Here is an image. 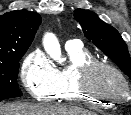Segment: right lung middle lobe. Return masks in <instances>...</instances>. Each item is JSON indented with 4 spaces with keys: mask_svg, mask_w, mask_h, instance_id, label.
<instances>
[{
    "mask_svg": "<svg viewBox=\"0 0 131 115\" xmlns=\"http://www.w3.org/2000/svg\"><path fill=\"white\" fill-rule=\"evenodd\" d=\"M26 50L13 53L8 60L0 61V101L22 95L17 84L19 60Z\"/></svg>",
    "mask_w": 131,
    "mask_h": 115,
    "instance_id": "obj_1",
    "label": "right lung middle lobe"
}]
</instances>
